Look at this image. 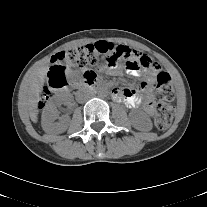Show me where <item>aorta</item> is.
<instances>
[{"instance_id":"762f6f07","label":"aorta","mask_w":207,"mask_h":207,"mask_svg":"<svg viewBox=\"0 0 207 207\" xmlns=\"http://www.w3.org/2000/svg\"><path fill=\"white\" fill-rule=\"evenodd\" d=\"M99 95L101 97H106L108 95V91L106 89H100Z\"/></svg>"}]
</instances>
